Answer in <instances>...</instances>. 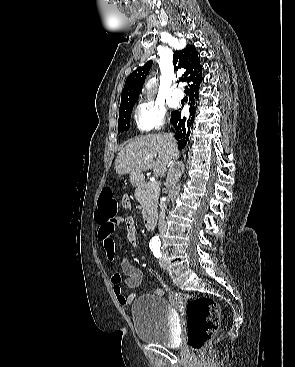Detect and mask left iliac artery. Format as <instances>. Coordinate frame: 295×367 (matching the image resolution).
Instances as JSON below:
<instances>
[{
	"instance_id": "left-iliac-artery-1",
	"label": "left iliac artery",
	"mask_w": 295,
	"mask_h": 367,
	"mask_svg": "<svg viewBox=\"0 0 295 367\" xmlns=\"http://www.w3.org/2000/svg\"><path fill=\"white\" fill-rule=\"evenodd\" d=\"M151 251L153 252L156 258H161L162 255H161L160 247H152Z\"/></svg>"
}]
</instances>
